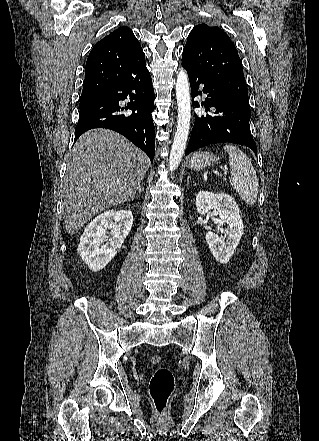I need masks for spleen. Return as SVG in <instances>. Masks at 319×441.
<instances>
[{"mask_svg": "<svg viewBox=\"0 0 319 441\" xmlns=\"http://www.w3.org/2000/svg\"><path fill=\"white\" fill-rule=\"evenodd\" d=\"M224 150L229 154V165L233 172L230 184L247 204H255L259 180L251 160L234 145H225Z\"/></svg>", "mask_w": 319, "mask_h": 441, "instance_id": "spleen-1", "label": "spleen"}]
</instances>
